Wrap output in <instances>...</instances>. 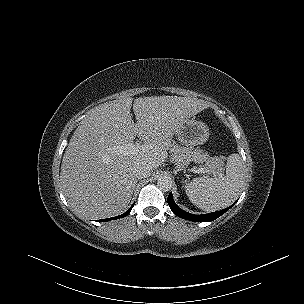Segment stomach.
<instances>
[{
	"label": "stomach",
	"instance_id": "obj_1",
	"mask_svg": "<svg viewBox=\"0 0 304 304\" xmlns=\"http://www.w3.org/2000/svg\"><path fill=\"white\" fill-rule=\"evenodd\" d=\"M176 134L178 139L188 146L202 145L210 135L208 126L195 118L185 120Z\"/></svg>",
	"mask_w": 304,
	"mask_h": 304
}]
</instances>
